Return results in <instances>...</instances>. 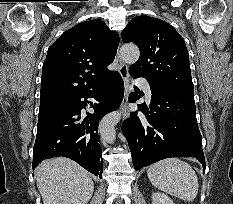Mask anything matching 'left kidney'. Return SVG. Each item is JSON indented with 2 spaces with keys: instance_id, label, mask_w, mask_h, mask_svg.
I'll return each instance as SVG.
<instances>
[{
  "instance_id": "left-kidney-1",
  "label": "left kidney",
  "mask_w": 233,
  "mask_h": 204,
  "mask_svg": "<svg viewBox=\"0 0 233 204\" xmlns=\"http://www.w3.org/2000/svg\"><path fill=\"white\" fill-rule=\"evenodd\" d=\"M152 204H174L172 199L164 193L156 192L152 195Z\"/></svg>"
}]
</instances>
